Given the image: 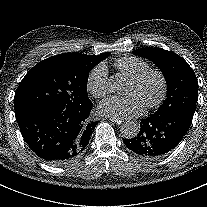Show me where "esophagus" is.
Segmentation results:
<instances>
[{"mask_svg":"<svg viewBox=\"0 0 207 207\" xmlns=\"http://www.w3.org/2000/svg\"><path fill=\"white\" fill-rule=\"evenodd\" d=\"M109 120L115 122L116 126L121 127L124 124V120L121 117L114 118V117H109Z\"/></svg>","mask_w":207,"mask_h":207,"instance_id":"1","label":"esophagus"}]
</instances>
